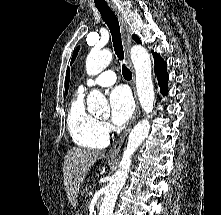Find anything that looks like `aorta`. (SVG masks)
Masks as SVG:
<instances>
[{
    "label": "aorta",
    "instance_id": "762f6f07",
    "mask_svg": "<svg viewBox=\"0 0 221 215\" xmlns=\"http://www.w3.org/2000/svg\"><path fill=\"white\" fill-rule=\"evenodd\" d=\"M131 60L135 68L136 88L140 105L147 118L138 122L129 134L127 146L123 152L119 169L105 188L103 202L98 215H112L118 194L125 185L132 162V156L143 143L150 131L149 118L154 107V89L151 72V59L148 51L141 45H134L130 50ZM109 50H91L86 59V71L89 75H96L103 71L112 61ZM88 111L91 114H106L109 106L105 97L93 90L87 97Z\"/></svg>",
    "mask_w": 221,
    "mask_h": 215
}]
</instances>
